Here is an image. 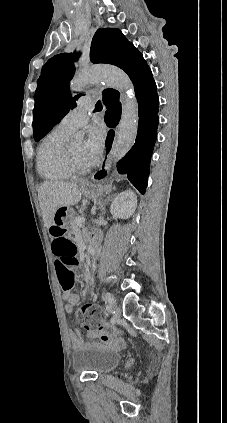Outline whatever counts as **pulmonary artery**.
I'll return each instance as SVG.
<instances>
[{
    "label": "pulmonary artery",
    "mask_w": 227,
    "mask_h": 423,
    "mask_svg": "<svg viewBox=\"0 0 227 423\" xmlns=\"http://www.w3.org/2000/svg\"><path fill=\"white\" fill-rule=\"evenodd\" d=\"M91 102L82 101L77 108L71 110L58 124L61 129L73 133L89 121V112L91 111Z\"/></svg>",
    "instance_id": "e3ab8cb5"
}]
</instances>
